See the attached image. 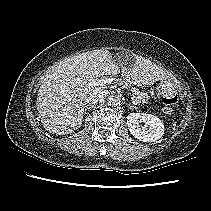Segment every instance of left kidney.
Masks as SVG:
<instances>
[{
	"label": "left kidney",
	"instance_id": "obj_1",
	"mask_svg": "<svg viewBox=\"0 0 211 211\" xmlns=\"http://www.w3.org/2000/svg\"><path fill=\"white\" fill-rule=\"evenodd\" d=\"M127 125L131 134L143 142H154L164 134L163 122L152 114L130 113L127 116Z\"/></svg>",
	"mask_w": 211,
	"mask_h": 211
}]
</instances>
